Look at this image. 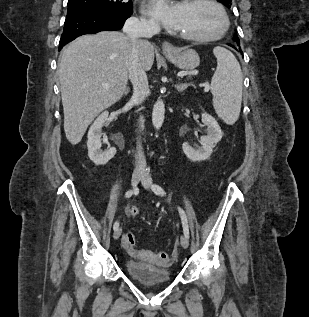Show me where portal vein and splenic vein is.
<instances>
[{"instance_id": "obj_1", "label": "portal vein and splenic vein", "mask_w": 309, "mask_h": 317, "mask_svg": "<svg viewBox=\"0 0 309 317\" xmlns=\"http://www.w3.org/2000/svg\"><path fill=\"white\" fill-rule=\"evenodd\" d=\"M208 89H209V85L205 84V90H208Z\"/></svg>"}]
</instances>
